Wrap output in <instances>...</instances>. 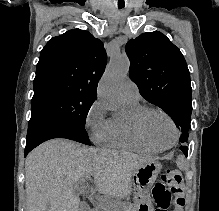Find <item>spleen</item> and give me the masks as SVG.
<instances>
[{
  "label": "spleen",
  "mask_w": 219,
  "mask_h": 211,
  "mask_svg": "<svg viewBox=\"0 0 219 211\" xmlns=\"http://www.w3.org/2000/svg\"><path fill=\"white\" fill-rule=\"evenodd\" d=\"M176 163L179 169H186L187 167V161H185L184 155H177Z\"/></svg>",
  "instance_id": "spleen-1"
}]
</instances>
